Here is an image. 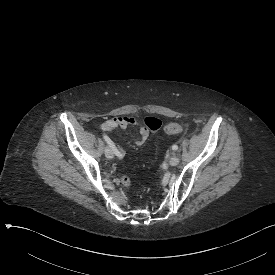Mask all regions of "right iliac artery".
I'll return each mask as SVG.
<instances>
[{
  "label": "right iliac artery",
  "instance_id": "82829eb1",
  "mask_svg": "<svg viewBox=\"0 0 275 275\" xmlns=\"http://www.w3.org/2000/svg\"><path fill=\"white\" fill-rule=\"evenodd\" d=\"M103 139L109 144V146H110L111 149L115 152V154H116L119 158H122V155H121L119 152H116L115 147H114L113 142L111 141V139H110L107 135H105V134H103Z\"/></svg>",
  "mask_w": 275,
  "mask_h": 275
}]
</instances>
